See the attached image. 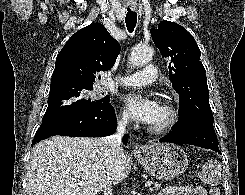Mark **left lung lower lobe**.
I'll use <instances>...</instances> for the list:
<instances>
[{
    "mask_svg": "<svg viewBox=\"0 0 245 195\" xmlns=\"http://www.w3.org/2000/svg\"><path fill=\"white\" fill-rule=\"evenodd\" d=\"M159 142L191 144L221 153L218 149V140L213 128V121L200 117L180 119L173 126L172 132L159 139Z\"/></svg>",
    "mask_w": 245,
    "mask_h": 195,
    "instance_id": "left-lung-lower-lobe-1",
    "label": "left lung lower lobe"
}]
</instances>
